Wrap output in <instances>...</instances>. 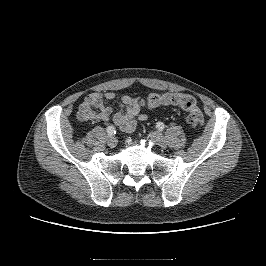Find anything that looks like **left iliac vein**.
<instances>
[{
    "mask_svg": "<svg viewBox=\"0 0 266 266\" xmlns=\"http://www.w3.org/2000/svg\"><path fill=\"white\" fill-rule=\"evenodd\" d=\"M149 136L155 144L160 146H166V140L159 131H151Z\"/></svg>",
    "mask_w": 266,
    "mask_h": 266,
    "instance_id": "left-iliac-vein-1",
    "label": "left iliac vein"
}]
</instances>
